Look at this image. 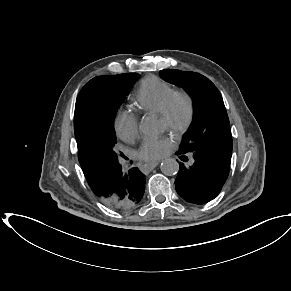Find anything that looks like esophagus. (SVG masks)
<instances>
[{"label":"esophagus","instance_id":"1","mask_svg":"<svg viewBox=\"0 0 291 291\" xmlns=\"http://www.w3.org/2000/svg\"><path fill=\"white\" fill-rule=\"evenodd\" d=\"M159 163H160L159 161L148 163L146 165V168L151 170V169L155 168Z\"/></svg>","mask_w":291,"mask_h":291}]
</instances>
